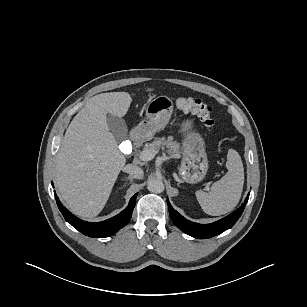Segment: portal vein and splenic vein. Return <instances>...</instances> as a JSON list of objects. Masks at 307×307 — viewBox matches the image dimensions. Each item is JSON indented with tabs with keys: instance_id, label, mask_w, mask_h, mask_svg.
I'll return each instance as SVG.
<instances>
[{
	"instance_id": "1",
	"label": "portal vein and splenic vein",
	"mask_w": 307,
	"mask_h": 307,
	"mask_svg": "<svg viewBox=\"0 0 307 307\" xmlns=\"http://www.w3.org/2000/svg\"><path fill=\"white\" fill-rule=\"evenodd\" d=\"M156 153L157 152L154 151V150L146 149V150H143L142 152H140L139 158L142 161H150L155 157Z\"/></svg>"
}]
</instances>
